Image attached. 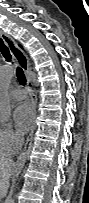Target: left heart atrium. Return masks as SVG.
Segmentation results:
<instances>
[{
  "label": "left heart atrium",
  "mask_w": 89,
  "mask_h": 203,
  "mask_svg": "<svg viewBox=\"0 0 89 203\" xmlns=\"http://www.w3.org/2000/svg\"><path fill=\"white\" fill-rule=\"evenodd\" d=\"M13 117L18 131L24 134L32 127L34 110L29 103H22L15 109Z\"/></svg>",
  "instance_id": "1"
}]
</instances>
